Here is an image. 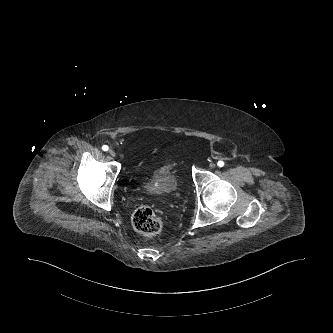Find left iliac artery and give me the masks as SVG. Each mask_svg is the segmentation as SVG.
<instances>
[{"instance_id":"1","label":"left iliac artery","mask_w":333,"mask_h":333,"mask_svg":"<svg viewBox=\"0 0 333 333\" xmlns=\"http://www.w3.org/2000/svg\"><path fill=\"white\" fill-rule=\"evenodd\" d=\"M217 165H218L219 167H223V166H224V162L220 160V161H218Z\"/></svg>"}]
</instances>
